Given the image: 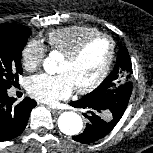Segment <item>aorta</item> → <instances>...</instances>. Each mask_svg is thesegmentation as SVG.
Listing matches in <instances>:
<instances>
[{
    "label": "aorta",
    "mask_w": 153,
    "mask_h": 153,
    "mask_svg": "<svg viewBox=\"0 0 153 153\" xmlns=\"http://www.w3.org/2000/svg\"><path fill=\"white\" fill-rule=\"evenodd\" d=\"M43 67L48 74H55L57 71L56 59L51 55L45 58ZM58 127L60 131L66 135H77L83 128V120L81 116L75 112H64L58 118Z\"/></svg>",
    "instance_id": "aorta-1"
}]
</instances>
